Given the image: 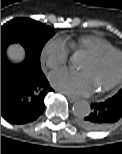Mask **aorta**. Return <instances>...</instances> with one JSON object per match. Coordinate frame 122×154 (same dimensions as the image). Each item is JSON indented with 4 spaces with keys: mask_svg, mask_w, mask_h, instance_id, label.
<instances>
[{
    "mask_svg": "<svg viewBox=\"0 0 122 154\" xmlns=\"http://www.w3.org/2000/svg\"><path fill=\"white\" fill-rule=\"evenodd\" d=\"M74 62V57L71 58ZM73 113L77 117H85L90 113V104L85 100L76 101L73 105Z\"/></svg>",
    "mask_w": 122,
    "mask_h": 154,
    "instance_id": "aorta-1",
    "label": "aorta"
}]
</instances>
